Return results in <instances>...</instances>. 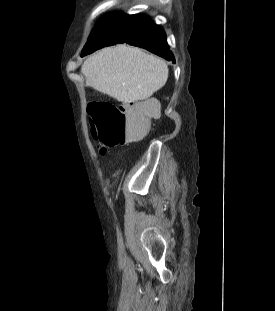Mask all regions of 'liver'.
Returning a JSON list of instances; mask_svg holds the SVG:
<instances>
[{
    "mask_svg": "<svg viewBox=\"0 0 275 311\" xmlns=\"http://www.w3.org/2000/svg\"><path fill=\"white\" fill-rule=\"evenodd\" d=\"M81 72L88 86L123 103L148 99L168 79L164 60L126 45L91 55Z\"/></svg>",
    "mask_w": 275,
    "mask_h": 311,
    "instance_id": "1",
    "label": "liver"
}]
</instances>
